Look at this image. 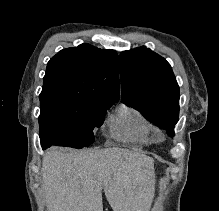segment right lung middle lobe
Wrapping results in <instances>:
<instances>
[{"instance_id": "obj_1", "label": "right lung middle lobe", "mask_w": 219, "mask_h": 211, "mask_svg": "<svg viewBox=\"0 0 219 211\" xmlns=\"http://www.w3.org/2000/svg\"><path fill=\"white\" fill-rule=\"evenodd\" d=\"M111 105L60 95L40 96L41 143L77 149L91 145L93 129L102 125Z\"/></svg>"}]
</instances>
